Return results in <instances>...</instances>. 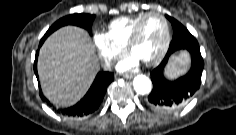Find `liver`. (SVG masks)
<instances>
[{
  "instance_id": "liver-1",
  "label": "liver",
  "mask_w": 236,
  "mask_h": 135,
  "mask_svg": "<svg viewBox=\"0 0 236 135\" xmlns=\"http://www.w3.org/2000/svg\"><path fill=\"white\" fill-rule=\"evenodd\" d=\"M99 70L94 45L86 31L65 26L51 34L38 57V75L44 95L55 105L76 103Z\"/></svg>"
}]
</instances>
